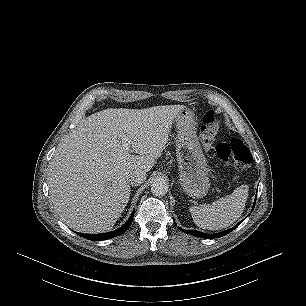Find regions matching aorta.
Masks as SVG:
<instances>
[{
  "label": "aorta",
  "instance_id": "1",
  "mask_svg": "<svg viewBox=\"0 0 306 306\" xmlns=\"http://www.w3.org/2000/svg\"><path fill=\"white\" fill-rule=\"evenodd\" d=\"M168 191V185L164 180L156 179L151 184V192L155 196H163Z\"/></svg>",
  "mask_w": 306,
  "mask_h": 306
}]
</instances>
